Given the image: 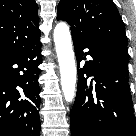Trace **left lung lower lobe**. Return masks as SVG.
<instances>
[{"label":"left lung lower lobe","instance_id":"obj_1","mask_svg":"<svg viewBox=\"0 0 136 136\" xmlns=\"http://www.w3.org/2000/svg\"><path fill=\"white\" fill-rule=\"evenodd\" d=\"M73 38L78 69L77 95L71 110L72 136H136L128 84V57L84 38ZM87 49V52H83ZM94 78L90 81L89 77Z\"/></svg>","mask_w":136,"mask_h":136}]
</instances>
